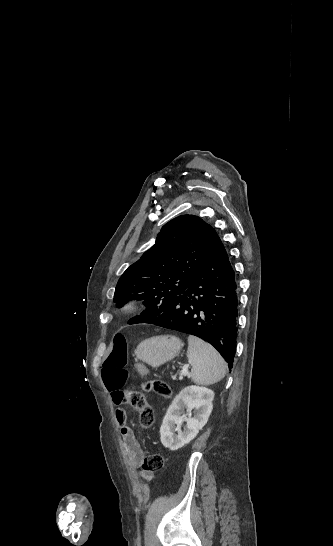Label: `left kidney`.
Listing matches in <instances>:
<instances>
[{
  "mask_svg": "<svg viewBox=\"0 0 333 546\" xmlns=\"http://www.w3.org/2000/svg\"><path fill=\"white\" fill-rule=\"evenodd\" d=\"M213 398L214 392L208 388L194 385L183 388L164 416L160 428L163 446L175 451L192 441L208 421ZM183 422L186 426L182 430Z\"/></svg>",
  "mask_w": 333,
  "mask_h": 546,
  "instance_id": "5707ae66",
  "label": "left kidney"
}]
</instances>
